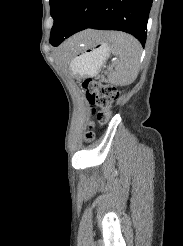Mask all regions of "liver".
Listing matches in <instances>:
<instances>
[{"instance_id": "obj_1", "label": "liver", "mask_w": 183, "mask_h": 246, "mask_svg": "<svg viewBox=\"0 0 183 246\" xmlns=\"http://www.w3.org/2000/svg\"><path fill=\"white\" fill-rule=\"evenodd\" d=\"M105 32L101 31H92V30H87L83 31L76 36H74L72 39H70L65 47L67 48L68 51H74L78 49L80 46H84L90 43H93L103 37H105Z\"/></svg>"}]
</instances>
